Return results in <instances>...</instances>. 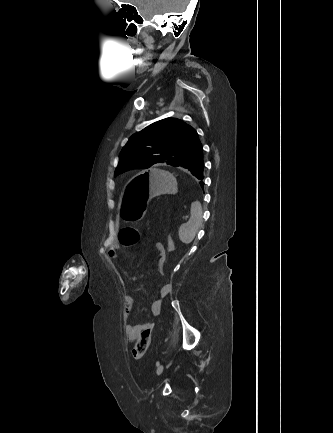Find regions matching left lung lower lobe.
Here are the masks:
<instances>
[{"label":"left lung lower lobe","mask_w":333,"mask_h":433,"mask_svg":"<svg viewBox=\"0 0 333 433\" xmlns=\"http://www.w3.org/2000/svg\"><path fill=\"white\" fill-rule=\"evenodd\" d=\"M181 168L185 169L199 180L204 178V160H203V147H201L193 156L184 161ZM203 185V182H200Z\"/></svg>","instance_id":"1"}]
</instances>
